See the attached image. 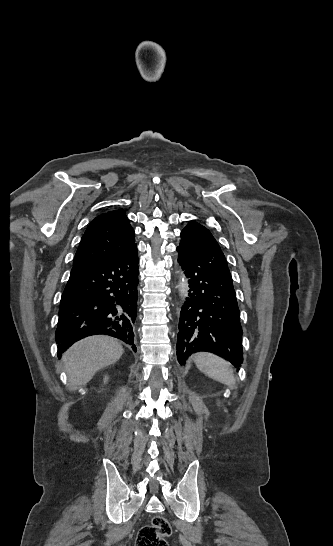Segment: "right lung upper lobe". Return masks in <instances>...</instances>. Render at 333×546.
I'll return each mask as SVG.
<instances>
[{
	"mask_svg": "<svg viewBox=\"0 0 333 546\" xmlns=\"http://www.w3.org/2000/svg\"><path fill=\"white\" fill-rule=\"evenodd\" d=\"M135 233L124 210L97 216L88 225L73 260V266L114 259L135 245Z\"/></svg>",
	"mask_w": 333,
	"mask_h": 546,
	"instance_id": "cb5924a9",
	"label": "right lung upper lobe"
}]
</instances>
